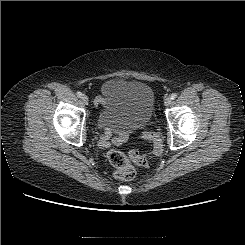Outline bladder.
<instances>
[{"instance_id": "obj_1", "label": "bladder", "mask_w": 245, "mask_h": 245, "mask_svg": "<svg viewBox=\"0 0 245 245\" xmlns=\"http://www.w3.org/2000/svg\"><path fill=\"white\" fill-rule=\"evenodd\" d=\"M102 92L105 101L95 121L98 127L135 130L151 120L155 96L147 84L112 79L103 85Z\"/></svg>"}]
</instances>
